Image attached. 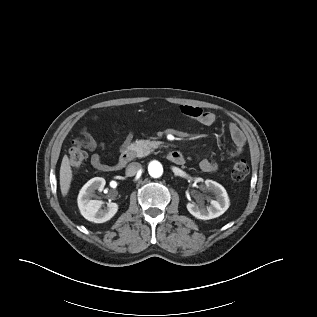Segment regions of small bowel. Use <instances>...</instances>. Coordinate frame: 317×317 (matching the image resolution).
<instances>
[{
	"label": "small bowel",
	"mask_w": 317,
	"mask_h": 317,
	"mask_svg": "<svg viewBox=\"0 0 317 317\" xmlns=\"http://www.w3.org/2000/svg\"><path fill=\"white\" fill-rule=\"evenodd\" d=\"M180 110L183 115L193 118L200 124L205 126H211L216 121V116L214 113L206 111L199 107L184 105L180 107ZM228 131L233 143V147L227 152V154L225 155V159L231 160L233 158L240 156L244 152L246 145V137L243 131L239 128V126L233 122H230L228 124ZM84 135L86 138L88 150L91 152H95L91 157V163L93 167L100 171H107L109 165L103 161L100 154L96 153L97 150H104L105 144L97 143L86 132L84 133ZM132 137L133 133L129 132L122 144V147H125L127 144H129ZM199 167L203 172L211 173L217 171L219 165L216 161L210 159H202L199 163Z\"/></svg>",
	"instance_id": "c3829d8e"
}]
</instances>
